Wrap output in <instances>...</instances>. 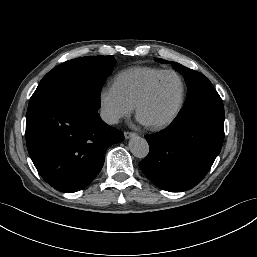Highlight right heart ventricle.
<instances>
[{
    "label": "right heart ventricle",
    "instance_id": "e07e8e85",
    "mask_svg": "<svg viewBox=\"0 0 257 257\" xmlns=\"http://www.w3.org/2000/svg\"><path fill=\"white\" fill-rule=\"evenodd\" d=\"M162 71L164 69L148 66L129 68L115 77L113 86L128 102L135 105L148 82Z\"/></svg>",
    "mask_w": 257,
    "mask_h": 257
}]
</instances>
